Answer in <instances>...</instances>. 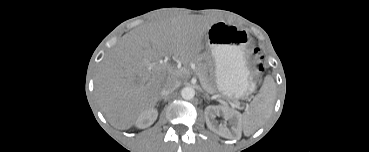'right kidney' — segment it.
I'll use <instances>...</instances> for the list:
<instances>
[{
	"instance_id": "right-kidney-1",
	"label": "right kidney",
	"mask_w": 369,
	"mask_h": 152,
	"mask_svg": "<svg viewBox=\"0 0 369 152\" xmlns=\"http://www.w3.org/2000/svg\"><path fill=\"white\" fill-rule=\"evenodd\" d=\"M158 117V110L151 108L142 112L135 122V126L139 129H145L151 126Z\"/></svg>"
}]
</instances>
